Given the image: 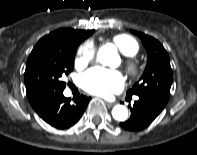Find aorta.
I'll list each match as a JSON object with an SVG mask.
<instances>
[{"instance_id":"aorta-1","label":"aorta","mask_w":197,"mask_h":155,"mask_svg":"<svg viewBox=\"0 0 197 155\" xmlns=\"http://www.w3.org/2000/svg\"><path fill=\"white\" fill-rule=\"evenodd\" d=\"M115 56V48L111 45H105L97 53V60L103 65H109L111 59ZM112 116L117 121H125L128 118V109L123 105H116L112 109Z\"/></svg>"}]
</instances>
